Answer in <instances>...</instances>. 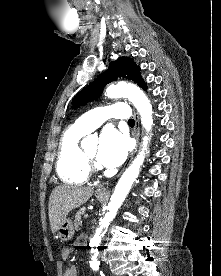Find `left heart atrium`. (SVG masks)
I'll return each mask as SVG.
<instances>
[{"label":"left heart atrium","instance_id":"39dd6f15","mask_svg":"<svg viewBox=\"0 0 221 276\" xmlns=\"http://www.w3.org/2000/svg\"><path fill=\"white\" fill-rule=\"evenodd\" d=\"M128 153V142L124 135L113 128L105 129L98 147L97 159L106 167L119 166Z\"/></svg>","mask_w":221,"mask_h":276}]
</instances>
